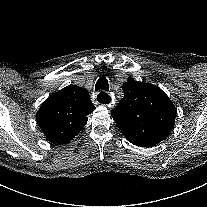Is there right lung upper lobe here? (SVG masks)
<instances>
[{
	"label": "right lung upper lobe",
	"instance_id": "cb5924a9",
	"mask_svg": "<svg viewBox=\"0 0 207 207\" xmlns=\"http://www.w3.org/2000/svg\"><path fill=\"white\" fill-rule=\"evenodd\" d=\"M94 109L86 89L67 86L43 102L37 112V122L50 142L64 144L81 131L87 115Z\"/></svg>",
	"mask_w": 207,
	"mask_h": 207
}]
</instances>
